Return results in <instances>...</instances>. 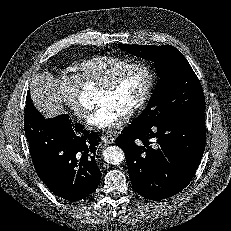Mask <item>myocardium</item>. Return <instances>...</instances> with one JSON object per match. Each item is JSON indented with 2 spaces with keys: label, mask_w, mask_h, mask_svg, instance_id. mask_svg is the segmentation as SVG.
Instances as JSON below:
<instances>
[{
  "label": "myocardium",
  "mask_w": 231,
  "mask_h": 231,
  "mask_svg": "<svg viewBox=\"0 0 231 231\" xmlns=\"http://www.w3.org/2000/svg\"><path fill=\"white\" fill-rule=\"evenodd\" d=\"M135 68H141L145 70L148 82L147 86L145 88L144 93L142 94L141 98L124 114L125 118H131L135 116L138 112H140L143 107L147 104L149 99L151 98L155 85H156V74L152 67L142 61H136L132 62L119 71H117L115 74H113L106 82L100 85V89L106 92H112L117 88L123 77L132 69Z\"/></svg>",
  "instance_id": "myocardium-1"
}]
</instances>
